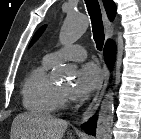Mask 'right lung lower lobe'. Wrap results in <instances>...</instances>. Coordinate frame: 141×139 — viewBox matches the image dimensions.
<instances>
[{
	"label": "right lung lower lobe",
	"mask_w": 141,
	"mask_h": 139,
	"mask_svg": "<svg viewBox=\"0 0 141 139\" xmlns=\"http://www.w3.org/2000/svg\"><path fill=\"white\" fill-rule=\"evenodd\" d=\"M105 61L107 65L112 68L115 59V45L111 40H108L104 48ZM86 133L95 135L96 116L91 118L86 124L82 126Z\"/></svg>",
	"instance_id": "98d812e1"
}]
</instances>
